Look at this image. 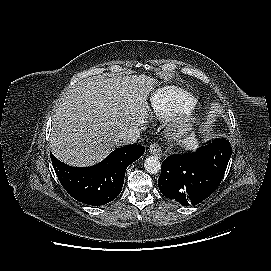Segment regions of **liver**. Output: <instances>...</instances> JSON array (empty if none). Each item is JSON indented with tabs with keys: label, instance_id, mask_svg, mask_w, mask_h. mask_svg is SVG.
Masks as SVG:
<instances>
[{
	"label": "liver",
	"instance_id": "obj_1",
	"mask_svg": "<svg viewBox=\"0 0 271 271\" xmlns=\"http://www.w3.org/2000/svg\"><path fill=\"white\" fill-rule=\"evenodd\" d=\"M156 79L147 75L87 78L68 90L56 105L50 148L64 163L91 166L116 147V137L145 129L147 98Z\"/></svg>",
	"mask_w": 271,
	"mask_h": 271
}]
</instances>
